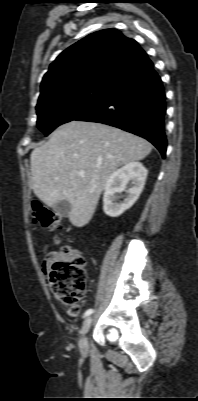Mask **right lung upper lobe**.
Returning <instances> with one entry per match:
<instances>
[{
	"mask_svg": "<svg viewBox=\"0 0 198 401\" xmlns=\"http://www.w3.org/2000/svg\"><path fill=\"white\" fill-rule=\"evenodd\" d=\"M146 58L135 40L116 29L92 33L64 50L50 65L39 99L83 85H110Z\"/></svg>",
	"mask_w": 198,
	"mask_h": 401,
	"instance_id": "cb5924a9",
	"label": "right lung upper lobe"
}]
</instances>
